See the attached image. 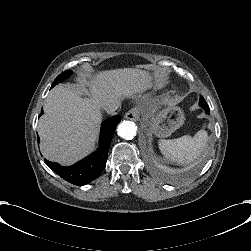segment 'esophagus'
I'll use <instances>...</instances> for the list:
<instances>
[{
	"label": "esophagus",
	"mask_w": 251,
	"mask_h": 251,
	"mask_svg": "<svg viewBox=\"0 0 251 251\" xmlns=\"http://www.w3.org/2000/svg\"><path fill=\"white\" fill-rule=\"evenodd\" d=\"M124 117L128 120H137L139 118L138 108H132L125 113Z\"/></svg>",
	"instance_id": "34e87169"
}]
</instances>
